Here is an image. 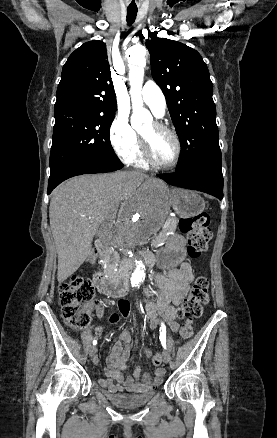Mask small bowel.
<instances>
[{
	"label": "small bowel",
	"mask_w": 277,
	"mask_h": 438,
	"mask_svg": "<svg viewBox=\"0 0 277 438\" xmlns=\"http://www.w3.org/2000/svg\"><path fill=\"white\" fill-rule=\"evenodd\" d=\"M193 280L192 267L186 261H181L178 267L155 276L150 294L157 292V299L153 300L147 296L144 300L145 310L149 318L148 324L151 329L156 328L162 321L170 332L178 331L176 308L187 295ZM103 309L102 303H96L98 313H102ZM123 315L127 317L129 312L127 311ZM103 331V326H97L94 330L96 335H101ZM130 343V332L127 330L122 331L111 346L108 366L104 371L106 379L101 378L98 380L100 386L112 393L119 390L130 392L150 391L160 385L164 377L165 371L163 368H156L152 379L149 374L142 373L140 366L135 368L133 375H124L130 356ZM144 353L148 358L152 354L148 348H144Z\"/></svg>",
	"instance_id": "c3829d8e"
}]
</instances>
